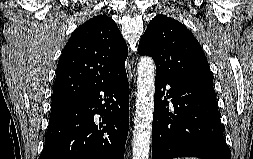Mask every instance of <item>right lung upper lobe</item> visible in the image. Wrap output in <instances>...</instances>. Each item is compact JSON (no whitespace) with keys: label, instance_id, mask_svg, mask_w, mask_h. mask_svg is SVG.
I'll return each instance as SVG.
<instances>
[{"label":"right lung upper lobe","instance_id":"right-lung-upper-lobe-1","mask_svg":"<svg viewBox=\"0 0 253 159\" xmlns=\"http://www.w3.org/2000/svg\"><path fill=\"white\" fill-rule=\"evenodd\" d=\"M126 42L116 23L97 15L79 26L58 61L52 103L72 102L125 70Z\"/></svg>","mask_w":253,"mask_h":159}]
</instances>
